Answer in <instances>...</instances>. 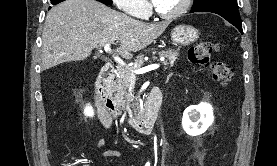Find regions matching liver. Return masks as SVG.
<instances>
[{"label": "liver", "instance_id": "1", "mask_svg": "<svg viewBox=\"0 0 277 166\" xmlns=\"http://www.w3.org/2000/svg\"><path fill=\"white\" fill-rule=\"evenodd\" d=\"M169 22L144 23L96 0H66L46 16L42 33L41 68L86 59L94 48L120 41L125 59L157 39Z\"/></svg>", "mask_w": 277, "mask_h": 166}]
</instances>
